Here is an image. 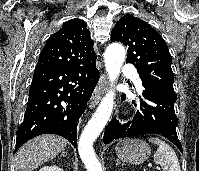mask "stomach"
<instances>
[{
	"instance_id": "0dacf381",
	"label": "stomach",
	"mask_w": 199,
	"mask_h": 171,
	"mask_svg": "<svg viewBox=\"0 0 199 171\" xmlns=\"http://www.w3.org/2000/svg\"><path fill=\"white\" fill-rule=\"evenodd\" d=\"M149 145L139 139H122L116 146L117 156L124 162L141 164L150 156Z\"/></svg>"
}]
</instances>
